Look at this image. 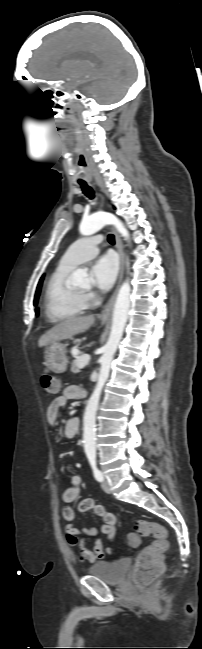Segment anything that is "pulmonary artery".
<instances>
[{
    "label": "pulmonary artery",
    "mask_w": 202,
    "mask_h": 649,
    "mask_svg": "<svg viewBox=\"0 0 202 649\" xmlns=\"http://www.w3.org/2000/svg\"><path fill=\"white\" fill-rule=\"evenodd\" d=\"M102 241L100 236L84 237L69 246L64 253L61 262L67 265L76 266L94 257L99 251Z\"/></svg>",
    "instance_id": "obj_1"
}]
</instances>
